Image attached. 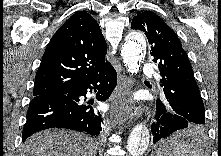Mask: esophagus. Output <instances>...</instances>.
<instances>
[{
	"mask_svg": "<svg viewBox=\"0 0 221 156\" xmlns=\"http://www.w3.org/2000/svg\"><path fill=\"white\" fill-rule=\"evenodd\" d=\"M131 88L132 82L130 77L125 74L119 75L118 90L115 99V108L113 111L114 124L122 125L127 119L126 113L120 105L124 101V99L129 96Z\"/></svg>",
	"mask_w": 221,
	"mask_h": 156,
	"instance_id": "esophagus-1",
	"label": "esophagus"
}]
</instances>
